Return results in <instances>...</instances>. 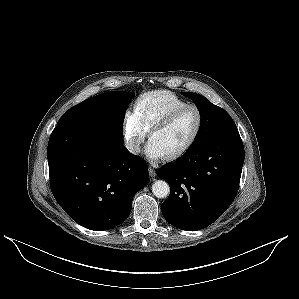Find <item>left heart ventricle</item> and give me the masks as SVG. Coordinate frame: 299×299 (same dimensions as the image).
Listing matches in <instances>:
<instances>
[{"label": "left heart ventricle", "instance_id": "obj_1", "mask_svg": "<svg viewBox=\"0 0 299 299\" xmlns=\"http://www.w3.org/2000/svg\"><path fill=\"white\" fill-rule=\"evenodd\" d=\"M197 124V112L194 109H189L182 113L170 126L156 131L151 139L168 155L179 150L189 141Z\"/></svg>", "mask_w": 299, "mask_h": 299}]
</instances>
